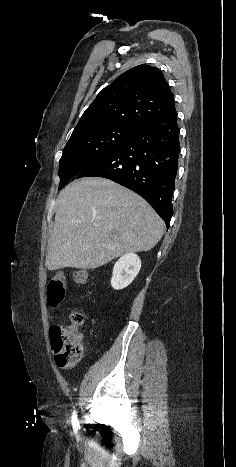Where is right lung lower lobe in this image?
Returning <instances> with one entry per match:
<instances>
[{
    "label": "right lung lower lobe",
    "instance_id": "obj_1",
    "mask_svg": "<svg viewBox=\"0 0 236 467\" xmlns=\"http://www.w3.org/2000/svg\"><path fill=\"white\" fill-rule=\"evenodd\" d=\"M177 111L151 122L113 151L80 172L77 178L104 177L142 196L169 225L178 169Z\"/></svg>",
    "mask_w": 236,
    "mask_h": 467
}]
</instances>
